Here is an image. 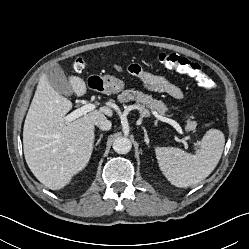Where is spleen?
Listing matches in <instances>:
<instances>
[{
  "label": "spleen",
  "instance_id": "obj_1",
  "mask_svg": "<svg viewBox=\"0 0 249 249\" xmlns=\"http://www.w3.org/2000/svg\"><path fill=\"white\" fill-rule=\"evenodd\" d=\"M195 145L196 154L175 147L155 148L159 167L171 184L188 187L208 177L221 158L225 137L220 130L210 129Z\"/></svg>",
  "mask_w": 249,
  "mask_h": 249
}]
</instances>
